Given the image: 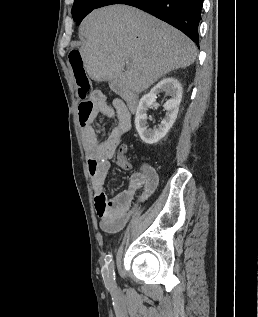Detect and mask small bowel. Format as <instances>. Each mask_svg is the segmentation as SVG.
Returning a JSON list of instances; mask_svg holds the SVG:
<instances>
[{"instance_id":"obj_1","label":"small bowel","mask_w":258,"mask_h":317,"mask_svg":"<svg viewBox=\"0 0 258 317\" xmlns=\"http://www.w3.org/2000/svg\"><path fill=\"white\" fill-rule=\"evenodd\" d=\"M99 114L117 120L107 139L102 142L97 139L90 125ZM78 119L99 225L105 232L116 233L124 228L135 213L136 200L143 202L155 191L158 174L151 165L143 164L138 172L132 174L128 189L109 199L105 191V180L111 166L110 160L131 128V111L123 100L115 99L110 105L101 91H94L90 99L79 103Z\"/></svg>"}]
</instances>
